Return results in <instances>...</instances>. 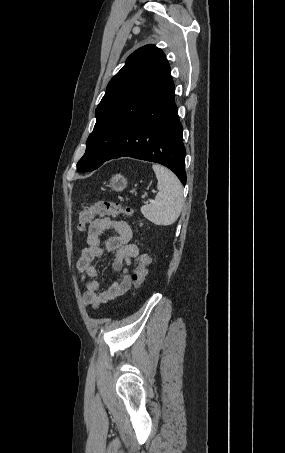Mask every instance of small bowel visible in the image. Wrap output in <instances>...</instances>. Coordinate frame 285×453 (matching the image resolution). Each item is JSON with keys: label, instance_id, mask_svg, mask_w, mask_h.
Here are the masks:
<instances>
[{"label": "small bowel", "instance_id": "1", "mask_svg": "<svg viewBox=\"0 0 285 453\" xmlns=\"http://www.w3.org/2000/svg\"><path fill=\"white\" fill-rule=\"evenodd\" d=\"M111 230L114 235L106 240L105 248L101 247L100 236ZM133 231L123 220H111L108 217L93 220L87 232L86 246L81 252L76 268L85 284L83 302L86 306L97 308L124 294L131 285L129 267L132 259L139 254V248L132 243ZM104 251L113 252L115 258L113 269L118 272L117 278L105 290H101V280L96 260Z\"/></svg>", "mask_w": 285, "mask_h": 453}]
</instances>
